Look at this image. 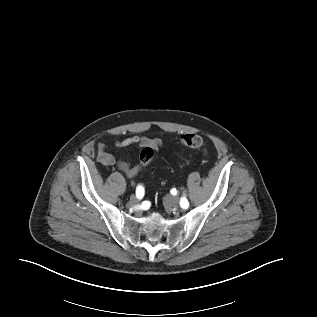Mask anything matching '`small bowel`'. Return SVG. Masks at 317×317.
Here are the masks:
<instances>
[{
    "label": "small bowel",
    "instance_id": "obj_1",
    "mask_svg": "<svg viewBox=\"0 0 317 317\" xmlns=\"http://www.w3.org/2000/svg\"><path fill=\"white\" fill-rule=\"evenodd\" d=\"M146 146L150 145L154 149H158L161 145V141L159 139H149L145 136H131L128 138H124L121 140L115 141V146L118 148H125L129 146ZM97 161L106 167H117L121 172H123L128 177H134L138 174L141 169V165L137 164L135 166H131L128 161L121 160L115 158L112 154H110L106 146L104 144H100L97 150Z\"/></svg>",
    "mask_w": 317,
    "mask_h": 317
}]
</instances>
